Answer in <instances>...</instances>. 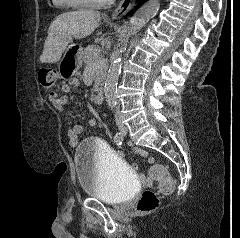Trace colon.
I'll list each match as a JSON object with an SVG mask.
<instances>
[{"mask_svg":"<svg viewBox=\"0 0 240 238\" xmlns=\"http://www.w3.org/2000/svg\"><path fill=\"white\" fill-rule=\"evenodd\" d=\"M56 72L51 68H41L38 71V80L45 89H51L56 83ZM149 177L152 181L158 183V189L161 194H170L174 189V182L168 170L162 165L151 167ZM159 205L157 193L150 189L142 192L136 203V210L139 213H148L155 210Z\"/></svg>","mask_w":240,"mask_h":238,"instance_id":"obj_1","label":"colon"}]
</instances>
